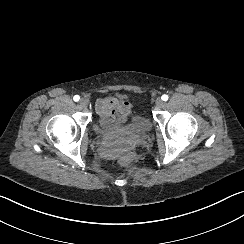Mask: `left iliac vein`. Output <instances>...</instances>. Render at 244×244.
<instances>
[{
  "mask_svg": "<svg viewBox=\"0 0 244 244\" xmlns=\"http://www.w3.org/2000/svg\"><path fill=\"white\" fill-rule=\"evenodd\" d=\"M163 104H164V102L161 98L156 99V101H155L156 107L161 108L163 106Z\"/></svg>",
  "mask_w": 244,
  "mask_h": 244,
  "instance_id": "4c4485c4",
  "label": "left iliac vein"
}]
</instances>
